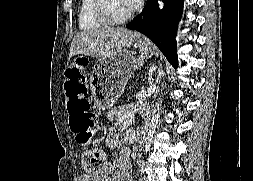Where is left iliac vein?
<instances>
[{
    "instance_id": "1",
    "label": "left iliac vein",
    "mask_w": 253,
    "mask_h": 181,
    "mask_svg": "<svg viewBox=\"0 0 253 181\" xmlns=\"http://www.w3.org/2000/svg\"><path fill=\"white\" fill-rule=\"evenodd\" d=\"M141 181H148L146 177H143Z\"/></svg>"
}]
</instances>
